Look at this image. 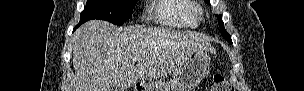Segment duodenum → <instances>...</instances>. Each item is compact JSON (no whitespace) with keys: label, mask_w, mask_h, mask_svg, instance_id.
<instances>
[{"label":"duodenum","mask_w":304,"mask_h":91,"mask_svg":"<svg viewBox=\"0 0 304 91\" xmlns=\"http://www.w3.org/2000/svg\"><path fill=\"white\" fill-rule=\"evenodd\" d=\"M144 89V86H143V84L142 83H138L137 85H136V91H141V90H143Z\"/></svg>","instance_id":"duodenum-1"}]
</instances>
